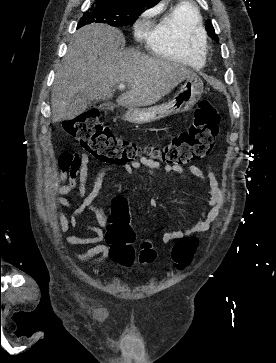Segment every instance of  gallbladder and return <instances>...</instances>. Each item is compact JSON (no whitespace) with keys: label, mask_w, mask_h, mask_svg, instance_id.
<instances>
[{"label":"gallbladder","mask_w":276,"mask_h":363,"mask_svg":"<svg viewBox=\"0 0 276 363\" xmlns=\"http://www.w3.org/2000/svg\"><path fill=\"white\" fill-rule=\"evenodd\" d=\"M89 100L82 97L80 94L75 95L69 105L68 111L72 115V119L82 114L88 107Z\"/></svg>","instance_id":"obj_1"}]
</instances>
